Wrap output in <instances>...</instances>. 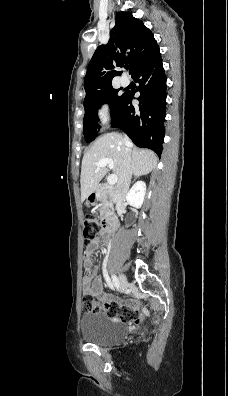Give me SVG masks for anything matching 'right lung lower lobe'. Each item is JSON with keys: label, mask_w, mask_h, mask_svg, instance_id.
Instances as JSON below:
<instances>
[{"label": "right lung lower lobe", "mask_w": 228, "mask_h": 396, "mask_svg": "<svg viewBox=\"0 0 228 396\" xmlns=\"http://www.w3.org/2000/svg\"><path fill=\"white\" fill-rule=\"evenodd\" d=\"M139 83L137 98L139 105L131 104L133 93L125 97L112 117V127H119L131 138L135 145L153 150L160 157L164 140L166 116V76L162 65L159 46L133 74Z\"/></svg>", "instance_id": "1"}]
</instances>
